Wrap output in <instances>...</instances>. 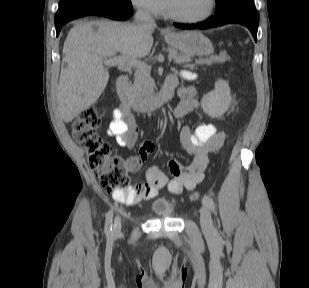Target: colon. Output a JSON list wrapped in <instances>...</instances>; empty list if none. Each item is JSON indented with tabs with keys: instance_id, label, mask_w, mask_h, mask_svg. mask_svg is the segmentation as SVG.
<instances>
[{
	"instance_id": "colon-1",
	"label": "colon",
	"mask_w": 309,
	"mask_h": 288,
	"mask_svg": "<svg viewBox=\"0 0 309 288\" xmlns=\"http://www.w3.org/2000/svg\"><path fill=\"white\" fill-rule=\"evenodd\" d=\"M101 118L96 107L82 110L73 120L71 135L87 154V163L106 192H124L128 189L129 175L123 160L114 155L112 147L97 132ZM199 192H192L191 201H198Z\"/></svg>"
}]
</instances>
